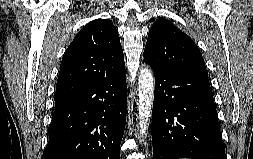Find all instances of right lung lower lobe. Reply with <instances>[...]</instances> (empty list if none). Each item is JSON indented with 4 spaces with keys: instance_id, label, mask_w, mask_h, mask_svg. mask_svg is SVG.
I'll return each instance as SVG.
<instances>
[{
    "instance_id": "obj_1",
    "label": "right lung lower lobe",
    "mask_w": 253,
    "mask_h": 159,
    "mask_svg": "<svg viewBox=\"0 0 253 159\" xmlns=\"http://www.w3.org/2000/svg\"><path fill=\"white\" fill-rule=\"evenodd\" d=\"M126 110L122 70L55 106L44 159H120Z\"/></svg>"
}]
</instances>
